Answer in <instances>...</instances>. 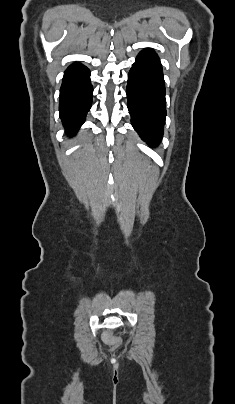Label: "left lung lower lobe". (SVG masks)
<instances>
[{
    "label": "left lung lower lobe",
    "instance_id": "1",
    "mask_svg": "<svg viewBox=\"0 0 235 404\" xmlns=\"http://www.w3.org/2000/svg\"><path fill=\"white\" fill-rule=\"evenodd\" d=\"M126 93L132 126L150 146H157L163 136L166 101L162 66L153 50L144 49L137 56Z\"/></svg>",
    "mask_w": 235,
    "mask_h": 404
}]
</instances>
